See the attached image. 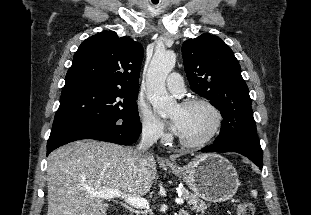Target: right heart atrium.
I'll use <instances>...</instances> for the list:
<instances>
[{"mask_svg": "<svg viewBox=\"0 0 311 215\" xmlns=\"http://www.w3.org/2000/svg\"><path fill=\"white\" fill-rule=\"evenodd\" d=\"M142 134L151 140H163L166 133L162 122L154 115L150 106L139 100L136 106Z\"/></svg>", "mask_w": 311, "mask_h": 215, "instance_id": "right-heart-atrium-1", "label": "right heart atrium"}]
</instances>
